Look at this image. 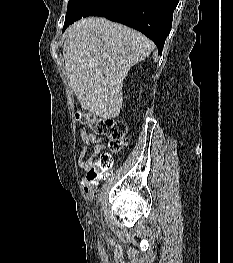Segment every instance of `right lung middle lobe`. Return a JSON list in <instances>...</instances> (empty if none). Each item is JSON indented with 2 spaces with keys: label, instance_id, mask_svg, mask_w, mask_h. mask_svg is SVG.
I'll return each mask as SVG.
<instances>
[{
  "label": "right lung middle lobe",
  "instance_id": "obj_1",
  "mask_svg": "<svg viewBox=\"0 0 233 263\" xmlns=\"http://www.w3.org/2000/svg\"><path fill=\"white\" fill-rule=\"evenodd\" d=\"M121 2L122 0H69L63 31L82 17L109 15Z\"/></svg>",
  "mask_w": 233,
  "mask_h": 263
}]
</instances>
